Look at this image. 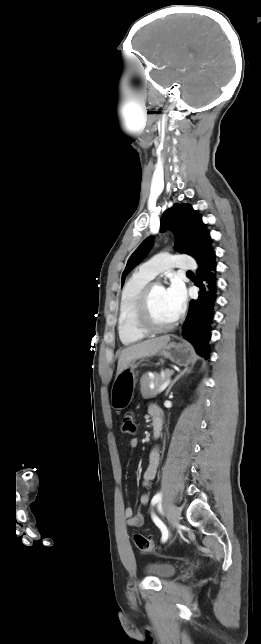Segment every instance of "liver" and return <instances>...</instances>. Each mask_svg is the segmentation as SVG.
Segmentation results:
<instances>
[{
  "instance_id": "1",
  "label": "liver",
  "mask_w": 261,
  "mask_h": 644,
  "mask_svg": "<svg viewBox=\"0 0 261 644\" xmlns=\"http://www.w3.org/2000/svg\"><path fill=\"white\" fill-rule=\"evenodd\" d=\"M169 341L170 336L165 335L124 348L119 355L117 375H119L130 362L157 354Z\"/></svg>"
}]
</instances>
